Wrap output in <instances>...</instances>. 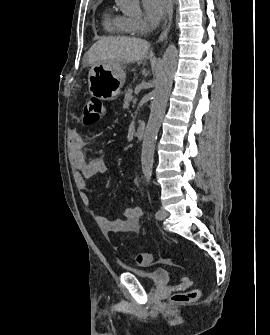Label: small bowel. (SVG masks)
Wrapping results in <instances>:
<instances>
[{
  "instance_id": "c3829d8e",
  "label": "small bowel",
  "mask_w": 270,
  "mask_h": 335,
  "mask_svg": "<svg viewBox=\"0 0 270 335\" xmlns=\"http://www.w3.org/2000/svg\"><path fill=\"white\" fill-rule=\"evenodd\" d=\"M84 141L78 131L72 129L68 132V159L72 169L74 182L80 190V199L83 204L89 205L90 200L85 190L88 189L87 181L95 175L107 172V164L102 159L87 161L84 154ZM110 181H107V185ZM140 206H131L124 210V217L108 219L102 215L95 214V219L105 233L136 232L140 227L142 217Z\"/></svg>"
}]
</instances>
